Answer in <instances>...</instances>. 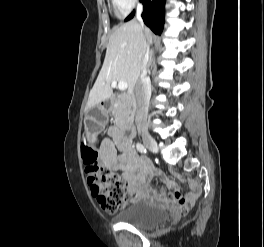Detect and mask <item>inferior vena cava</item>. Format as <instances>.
Wrapping results in <instances>:
<instances>
[{
  "label": "inferior vena cava",
  "instance_id": "1",
  "mask_svg": "<svg viewBox=\"0 0 264 247\" xmlns=\"http://www.w3.org/2000/svg\"><path fill=\"white\" fill-rule=\"evenodd\" d=\"M142 11V5L138 4L136 15L143 27V21L141 18ZM141 54V70L135 85V97L137 103L135 122L138 128L146 126L149 101L151 97V84L146 77V66L149 60V50L146 41H143Z\"/></svg>",
  "mask_w": 264,
  "mask_h": 247
}]
</instances>
